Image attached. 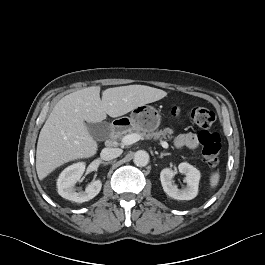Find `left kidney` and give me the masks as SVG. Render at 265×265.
I'll return each mask as SVG.
<instances>
[{
  "mask_svg": "<svg viewBox=\"0 0 265 265\" xmlns=\"http://www.w3.org/2000/svg\"><path fill=\"white\" fill-rule=\"evenodd\" d=\"M178 170L181 174L186 175L187 186L184 189H178L172 184V178L175 175L171 168H164L160 173V180L164 192L177 200H191L198 194V185L200 180V172L187 162L180 163Z\"/></svg>",
  "mask_w": 265,
  "mask_h": 265,
  "instance_id": "obj_1",
  "label": "left kidney"
}]
</instances>
